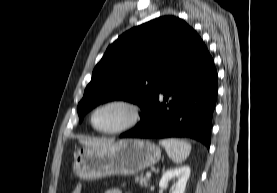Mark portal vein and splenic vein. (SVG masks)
Listing matches in <instances>:
<instances>
[{
  "label": "portal vein and splenic vein",
  "mask_w": 277,
  "mask_h": 193,
  "mask_svg": "<svg viewBox=\"0 0 277 193\" xmlns=\"http://www.w3.org/2000/svg\"><path fill=\"white\" fill-rule=\"evenodd\" d=\"M146 177H147V178H150V177H151V172H147V173H146Z\"/></svg>",
  "instance_id": "1"
}]
</instances>
